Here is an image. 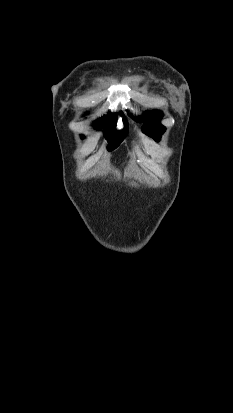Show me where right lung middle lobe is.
I'll list each match as a JSON object with an SVG mask.
<instances>
[{
  "label": "right lung middle lobe",
  "instance_id": "obj_1",
  "mask_svg": "<svg viewBox=\"0 0 233 413\" xmlns=\"http://www.w3.org/2000/svg\"><path fill=\"white\" fill-rule=\"evenodd\" d=\"M123 116V115H122ZM125 130L124 131H117L115 126L117 122L116 114L108 117L107 119H99L95 122V128L100 129L104 128L106 139L108 140V150L111 151L115 149L125 138L126 131H127V123L125 120Z\"/></svg>",
  "mask_w": 233,
  "mask_h": 413
}]
</instances>
